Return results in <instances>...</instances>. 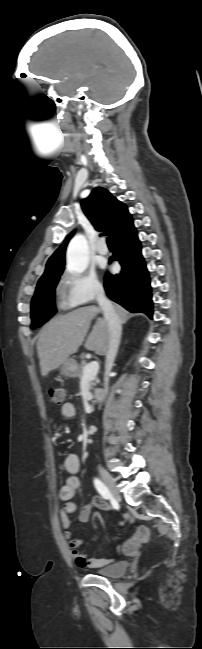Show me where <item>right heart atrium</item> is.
Listing matches in <instances>:
<instances>
[{
	"instance_id": "d8ad5b80",
	"label": "right heart atrium",
	"mask_w": 202,
	"mask_h": 649,
	"mask_svg": "<svg viewBox=\"0 0 202 649\" xmlns=\"http://www.w3.org/2000/svg\"><path fill=\"white\" fill-rule=\"evenodd\" d=\"M103 292V285L91 271L67 270L60 277L59 306L69 309L95 301Z\"/></svg>"
}]
</instances>
